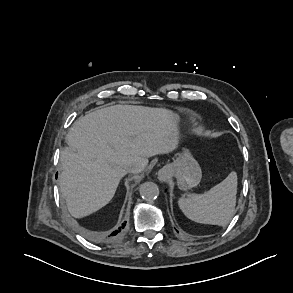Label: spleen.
<instances>
[{"label":"spleen","mask_w":293,"mask_h":293,"mask_svg":"<svg viewBox=\"0 0 293 293\" xmlns=\"http://www.w3.org/2000/svg\"><path fill=\"white\" fill-rule=\"evenodd\" d=\"M237 174L232 171L222 182L203 194H187L178 205L185 216L197 223L227 225L235 214Z\"/></svg>","instance_id":"3e777b00"}]
</instances>
